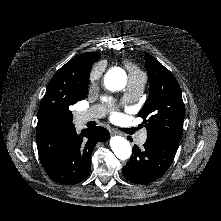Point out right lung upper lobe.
<instances>
[{
	"instance_id": "obj_1",
	"label": "right lung upper lobe",
	"mask_w": 221,
	"mask_h": 221,
	"mask_svg": "<svg viewBox=\"0 0 221 221\" xmlns=\"http://www.w3.org/2000/svg\"><path fill=\"white\" fill-rule=\"evenodd\" d=\"M99 56L98 52H88L75 57L62 66L48 84L37 124V148L45 171L56 156L61 139L75 128L69 107L79 101L80 93L87 92L91 66Z\"/></svg>"
}]
</instances>
